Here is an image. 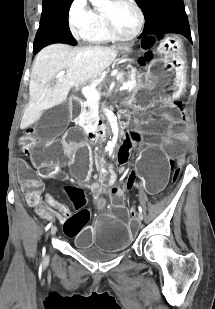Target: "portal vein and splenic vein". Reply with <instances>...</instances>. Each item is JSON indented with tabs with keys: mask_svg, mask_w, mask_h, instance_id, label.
Here are the masks:
<instances>
[{
	"mask_svg": "<svg viewBox=\"0 0 215 309\" xmlns=\"http://www.w3.org/2000/svg\"><path fill=\"white\" fill-rule=\"evenodd\" d=\"M59 76H63L65 74V70H61V72H58ZM132 82H127V84H123V86H120V90L122 88H129L131 86ZM82 92L84 96H99L95 86H83Z\"/></svg>",
	"mask_w": 215,
	"mask_h": 309,
	"instance_id": "portal-vein-and-splenic-vein-1",
	"label": "portal vein and splenic vein"
}]
</instances>
